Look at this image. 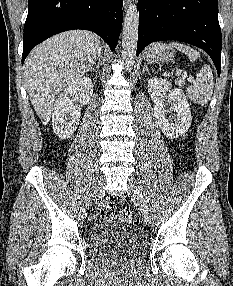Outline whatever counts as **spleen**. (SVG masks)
Here are the masks:
<instances>
[{"label": "spleen", "instance_id": "spleen-1", "mask_svg": "<svg viewBox=\"0 0 233 286\" xmlns=\"http://www.w3.org/2000/svg\"><path fill=\"white\" fill-rule=\"evenodd\" d=\"M169 46L175 47L187 55L190 61H196L197 59L201 61L199 52L188 45L172 42ZM213 89L214 79L212 69L209 65L205 64L197 73L193 84L187 88V95L194 103L206 105L211 100Z\"/></svg>", "mask_w": 233, "mask_h": 286}]
</instances>
